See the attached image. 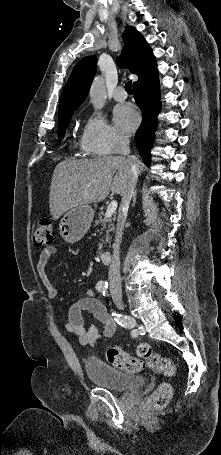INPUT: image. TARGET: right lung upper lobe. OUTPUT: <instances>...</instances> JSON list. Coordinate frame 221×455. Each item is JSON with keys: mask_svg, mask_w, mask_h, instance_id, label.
Listing matches in <instances>:
<instances>
[{"mask_svg": "<svg viewBox=\"0 0 221 455\" xmlns=\"http://www.w3.org/2000/svg\"><path fill=\"white\" fill-rule=\"evenodd\" d=\"M124 48L117 58L120 67L128 68L138 77L155 59L149 44L133 26H128L123 34ZM96 56H87L74 67L59 101L58 113L75 111L88 95L96 73ZM135 83V82H134Z\"/></svg>", "mask_w": 221, "mask_h": 455, "instance_id": "right-lung-upper-lobe-1", "label": "right lung upper lobe"}]
</instances>
